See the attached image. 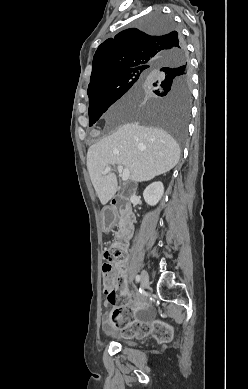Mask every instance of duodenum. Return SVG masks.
I'll return each instance as SVG.
<instances>
[{"label": "duodenum", "instance_id": "1", "mask_svg": "<svg viewBox=\"0 0 248 389\" xmlns=\"http://www.w3.org/2000/svg\"><path fill=\"white\" fill-rule=\"evenodd\" d=\"M121 206V201L118 197H113L110 200L109 207L111 208V213H115ZM104 213V212H103ZM122 213V220H121V233H120V240L123 243V245H126L128 240L131 238L134 230V221L135 216L132 211L131 205L129 203L125 204L122 207L121 210ZM113 226V220H111L110 226H105V230L111 229Z\"/></svg>", "mask_w": 248, "mask_h": 389}]
</instances>
